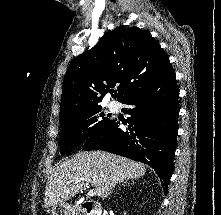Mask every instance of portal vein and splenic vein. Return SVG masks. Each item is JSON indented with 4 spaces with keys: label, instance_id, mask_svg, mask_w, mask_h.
<instances>
[{
    "label": "portal vein and splenic vein",
    "instance_id": "obj_1",
    "mask_svg": "<svg viewBox=\"0 0 221 215\" xmlns=\"http://www.w3.org/2000/svg\"><path fill=\"white\" fill-rule=\"evenodd\" d=\"M88 195L89 196H95L96 195V191L95 190H89V192H88Z\"/></svg>",
    "mask_w": 221,
    "mask_h": 215
}]
</instances>
